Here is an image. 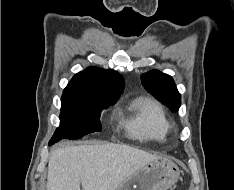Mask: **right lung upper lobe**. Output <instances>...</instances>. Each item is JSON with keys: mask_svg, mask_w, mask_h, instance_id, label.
<instances>
[{"mask_svg": "<svg viewBox=\"0 0 234 190\" xmlns=\"http://www.w3.org/2000/svg\"><path fill=\"white\" fill-rule=\"evenodd\" d=\"M123 88L124 79L118 72L90 67L72 78L62 98L115 103Z\"/></svg>", "mask_w": 234, "mask_h": 190, "instance_id": "cb5924a9", "label": "right lung upper lobe"}]
</instances>
